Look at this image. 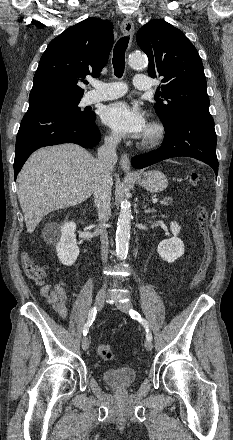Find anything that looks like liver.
Here are the masks:
<instances>
[{"label":"liver","instance_id":"6515ba94","mask_svg":"<svg viewBox=\"0 0 233 440\" xmlns=\"http://www.w3.org/2000/svg\"><path fill=\"white\" fill-rule=\"evenodd\" d=\"M97 175V159L79 145L66 143L34 152L17 177L28 233L50 212L87 200Z\"/></svg>","mask_w":233,"mask_h":440}]
</instances>
